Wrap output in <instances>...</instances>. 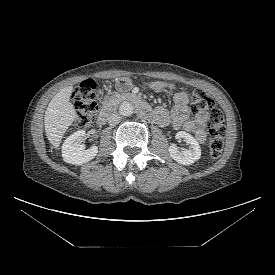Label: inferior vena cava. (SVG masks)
<instances>
[{
  "mask_svg": "<svg viewBox=\"0 0 275 275\" xmlns=\"http://www.w3.org/2000/svg\"><path fill=\"white\" fill-rule=\"evenodd\" d=\"M121 117L118 113L114 112L112 114H110L109 118H108V123L109 125H116L120 122Z\"/></svg>",
  "mask_w": 275,
  "mask_h": 275,
  "instance_id": "inferior-vena-cava-1",
  "label": "inferior vena cava"
}]
</instances>
